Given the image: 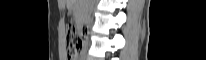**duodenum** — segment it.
I'll use <instances>...</instances> for the list:
<instances>
[{"label":"duodenum","mask_w":206,"mask_h":60,"mask_svg":"<svg viewBox=\"0 0 206 60\" xmlns=\"http://www.w3.org/2000/svg\"><path fill=\"white\" fill-rule=\"evenodd\" d=\"M81 31L83 34H86L88 31V26H86V25L81 26Z\"/></svg>","instance_id":"duodenum-1"}]
</instances>
